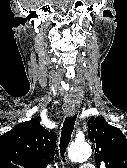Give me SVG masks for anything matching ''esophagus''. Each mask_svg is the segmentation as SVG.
Returning <instances> with one entry per match:
<instances>
[{
    "label": "esophagus",
    "mask_w": 127,
    "mask_h": 168,
    "mask_svg": "<svg viewBox=\"0 0 127 168\" xmlns=\"http://www.w3.org/2000/svg\"><path fill=\"white\" fill-rule=\"evenodd\" d=\"M77 112V108L72 106V107H66L64 110V113L68 116H72Z\"/></svg>",
    "instance_id": "obj_1"
}]
</instances>
